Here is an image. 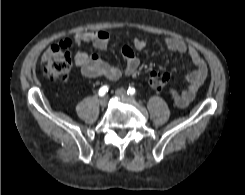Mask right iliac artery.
<instances>
[{
	"label": "right iliac artery",
	"instance_id": "right-iliac-artery-1",
	"mask_svg": "<svg viewBox=\"0 0 245 195\" xmlns=\"http://www.w3.org/2000/svg\"><path fill=\"white\" fill-rule=\"evenodd\" d=\"M108 92V86H102L100 89H99V96H104L106 93Z\"/></svg>",
	"mask_w": 245,
	"mask_h": 195
}]
</instances>
